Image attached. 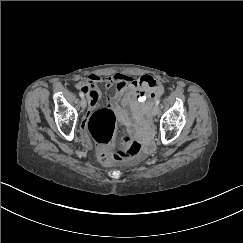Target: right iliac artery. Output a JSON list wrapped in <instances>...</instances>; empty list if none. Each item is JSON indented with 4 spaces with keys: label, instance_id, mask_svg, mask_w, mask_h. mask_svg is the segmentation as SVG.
<instances>
[{
    "label": "right iliac artery",
    "instance_id": "1",
    "mask_svg": "<svg viewBox=\"0 0 243 243\" xmlns=\"http://www.w3.org/2000/svg\"><path fill=\"white\" fill-rule=\"evenodd\" d=\"M79 96H80L81 98H84V94H83L82 92H79Z\"/></svg>",
    "mask_w": 243,
    "mask_h": 243
}]
</instances>
